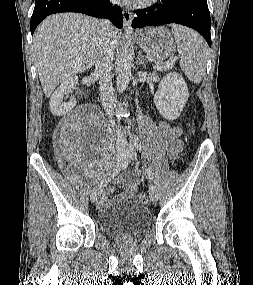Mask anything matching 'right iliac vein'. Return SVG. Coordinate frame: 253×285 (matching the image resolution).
<instances>
[{
  "label": "right iliac vein",
  "mask_w": 253,
  "mask_h": 285,
  "mask_svg": "<svg viewBox=\"0 0 253 285\" xmlns=\"http://www.w3.org/2000/svg\"><path fill=\"white\" fill-rule=\"evenodd\" d=\"M125 159V151L124 149L120 148L118 150L117 153V158H116V162H115V167L118 168L121 166L123 160ZM109 179H105L104 181H102L101 183H99L91 192L90 195V199L92 202H97V200L99 199L100 195L103 192V188L105 187L107 181Z\"/></svg>",
  "instance_id": "obj_1"
}]
</instances>
